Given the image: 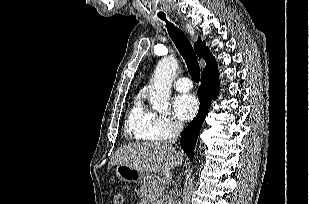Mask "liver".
<instances>
[{
	"mask_svg": "<svg viewBox=\"0 0 309 204\" xmlns=\"http://www.w3.org/2000/svg\"><path fill=\"white\" fill-rule=\"evenodd\" d=\"M182 159V154L166 142L130 143L115 152L110 166L125 164L146 173L167 172Z\"/></svg>",
	"mask_w": 309,
	"mask_h": 204,
	"instance_id": "liver-1",
	"label": "liver"
}]
</instances>
